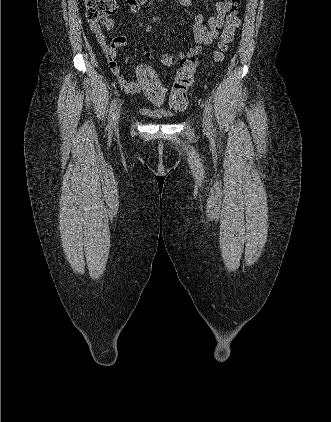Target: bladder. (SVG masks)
<instances>
[{
    "mask_svg": "<svg viewBox=\"0 0 331 422\" xmlns=\"http://www.w3.org/2000/svg\"><path fill=\"white\" fill-rule=\"evenodd\" d=\"M143 113L155 119H170L173 117L172 114L164 112V111L143 110Z\"/></svg>",
    "mask_w": 331,
    "mask_h": 422,
    "instance_id": "obj_1",
    "label": "bladder"
}]
</instances>
